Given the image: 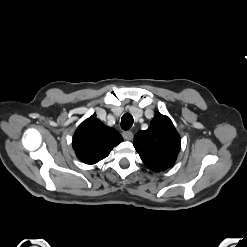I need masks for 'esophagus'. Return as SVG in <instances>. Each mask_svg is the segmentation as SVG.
Here are the masks:
<instances>
[{
    "instance_id": "obj_1",
    "label": "esophagus",
    "mask_w": 247,
    "mask_h": 247,
    "mask_svg": "<svg viewBox=\"0 0 247 247\" xmlns=\"http://www.w3.org/2000/svg\"><path fill=\"white\" fill-rule=\"evenodd\" d=\"M122 136L125 140L131 141L134 137L133 133L131 131H125L122 133Z\"/></svg>"
}]
</instances>
